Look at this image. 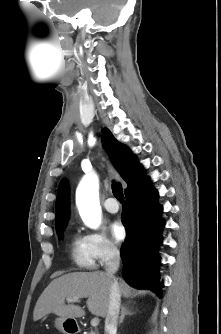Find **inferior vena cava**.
<instances>
[{
  "label": "inferior vena cava",
  "instance_id": "obj_1",
  "mask_svg": "<svg viewBox=\"0 0 221 334\" xmlns=\"http://www.w3.org/2000/svg\"><path fill=\"white\" fill-rule=\"evenodd\" d=\"M120 253L114 246H109L105 271L108 277L112 279L109 295L108 312L105 319L106 334H116L117 321L121 304V290L114 274L119 268Z\"/></svg>",
  "mask_w": 221,
  "mask_h": 334
}]
</instances>
